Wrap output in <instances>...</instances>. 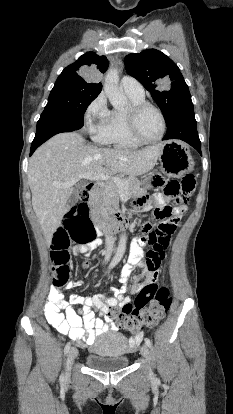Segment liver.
Here are the masks:
<instances>
[{
    "mask_svg": "<svg viewBox=\"0 0 233 414\" xmlns=\"http://www.w3.org/2000/svg\"><path fill=\"white\" fill-rule=\"evenodd\" d=\"M162 144L140 150L100 148L76 132H63L41 145L29 160L32 206L48 245L67 212L73 186L88 173L142 175L154 168Z\"/></svg>",
    "mask_w": 233,
    "mask_h": 414,
    "instance_id": "liver-1",
    "label": "liver"
}]
</instances>
